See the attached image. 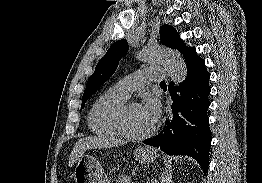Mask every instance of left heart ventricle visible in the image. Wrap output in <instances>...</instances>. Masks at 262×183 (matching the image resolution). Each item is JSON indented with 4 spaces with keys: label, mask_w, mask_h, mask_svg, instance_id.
Segmentation results:
<instances>
[{
    "label": "left heart ventricle",
    "mask_w": 262,
    "mask_h": 183,
    "mask_svg": "<svg viewBox=\"0 0 262 183\" xmlns=\"http://www.w3.org/2000/svg\"><path fill=\"white\" fill-rule=\"evenodd\" d=\"M126 124L128 129L135 134L145 133L153 127L143 117L140 106L134 103L127 108Z\"/></svg>",
    "instance_id": "1"
}]
</instances>
